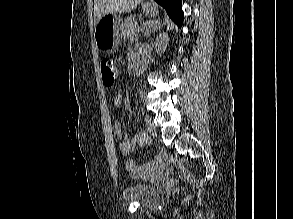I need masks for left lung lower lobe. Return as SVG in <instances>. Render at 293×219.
I'll list each match as a JSON object with an SVG mask.
<instances>
[{
    "label": "left lung lower lobe",
    "mask_w": 293,
    "mask_h": 219,
    "mask_svg": "<svg viewBox=\"0 0 293 219\" xmlns=\"http://www.w3.org/2000/svg\"><path fill=\"white\" fill-rule=\"evenodd\" d=\"M159 5L165 8L167 14L179 27L182 26L184 14L182 11L181 0H155Z\"/></svg>",
    "instance_id": "obj_1"
}]
</instances>
